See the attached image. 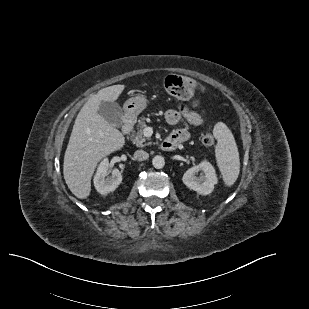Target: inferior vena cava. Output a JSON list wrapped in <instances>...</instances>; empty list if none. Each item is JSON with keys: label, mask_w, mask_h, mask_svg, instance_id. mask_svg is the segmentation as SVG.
<instances>
[{"label": "inferior vena cava", "mask_w": 309, "mask_h": 309, "mask_svg": "<svg viewBox=\"0 0 309 309\" xmlns=\"http://www.w3.org/2000/svg\"><path fill=\"white\" fill-rule=\"evenodd\" d=\"M148 157H149V154L144 150H137L134 153V158L138 161H144L148 159Z\"/></svg>", "instance_id": "inferior-vena-cava-1"}]
</instances>
